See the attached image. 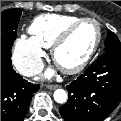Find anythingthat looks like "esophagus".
<instances>
[{
	"label": "esophagus",
	"instance_id": "obj_1",
	"mask_svg": "<svg viewBox=\"0 0 121 121\" xmlns=\"http://www.w3.org/2000/svg\"><path fill=\"white\" fill-rule=\"evenodd\" d=\"M59 87V85H46V88L49 90H54L57 89Z\"/></svg>",
	"mask_w": 121,
	"mask_h": 121
}]
</instances>
